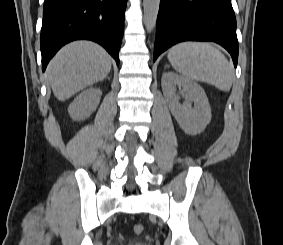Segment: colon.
I'll use <instances>...</instances> for the list:
<instances>
[{
    "instance_id": "1",
    "label": "colon",
    "mask_w": 283,
    "mask_h": 245,
    "mask_svg": "<svg viewBox=\"0 0 283 245\" xmlns=\"http://www.w3.org/2000/svg\"><path fill=\"white\" fill-rule=\"evenodd\" d=\"M144 230V227L142 224L138 223V224H135L134 227H133V231L135 234H141Z\"/></svg>"
}]
</instances>
